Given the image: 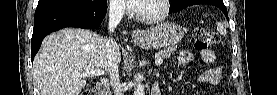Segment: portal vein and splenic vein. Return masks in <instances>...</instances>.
<instances>
[{
    "label": "portal vein and splenic vein",
    "mask_w": 277,
    "mask_h": 95,
    "mask_svg": "<svg viewBox=\"0 0 277 95\" xmlns=\"http://www.w3.org/2000/svg\"><path fill=\"white\" fill-rule=\"evenodd\" d=\"M163 62V60L161 58H157L156 61H155V64L157 66L161 65ZM100 75H104V71H101V70H92V71H86V72H83V73H75V76L77 77H83V78H86V77H93V76H100Z\"/></svg>",
    "instance_id": "obj_1"
}]
</instances>
